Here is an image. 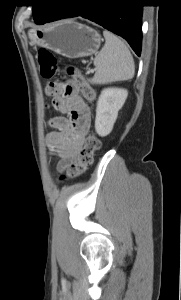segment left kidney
Returning <instances> with one entry per match:
<instances>
[{
	"mask_svg": "<svg viewBox=\"0 0 181 300\" xmlns=\"http://www.w3.org/2000/svg\"><path fill=\"white\" fill-rule=\"evenodd\" d=\"M128 92L121 88H106L102 90L96 107L95 130L101 137H105L113 129L118 111L124 105Z\"/></svg>",
	"mask_w": 181,
	"mask_h": 300,
	"instance_id": "left-kidney-1",
	"label": "left kidney"
}]
</instances>
